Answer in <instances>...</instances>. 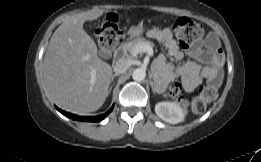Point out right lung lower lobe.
Wrapping results in <instances>:
<instances>
[{"label": "right lung lower lobe", "mask_w": 261, "mask_h": 162, "mask_svg": "<svg viewBox=\"0 0 261 162\" xmlns=\"http://www.w3.org/2000/svg\"><path fill=\"white\" fill-rule=\"evenodd\" d=\"M57 108V107H56ZM114 108V105L111 107V109L105 113V114H102V115H99V116H88V117H84V116H77V115H74V114H71V113H68V112H65L63 110H60L59 108H57V110L59 112H61L63 115L73 119V120H79V121H90V122H98V121H101L103 120Z\"/></svg>", "instance_id": "1"}]
</instances>
